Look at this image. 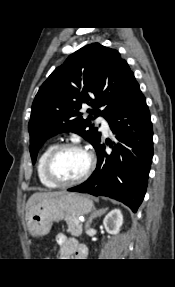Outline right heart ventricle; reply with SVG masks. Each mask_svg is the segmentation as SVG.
Segmentation results:
<instances>
[{
	"label": "right heart ventricle",
	"mask_w": 175,
	"mask_h": 287,
	"mask_svg": "<svg viewBox=\"0 0 175 287\" xmlns=\"http://www.w3.org/2000/svg\"><path fill=\"white\" fill-rule=\"evenodd\" d=\"M55 144H49L47 145L40 153L38 160H37V165H36V170H37V176L40 181V183L47 187V188H56L57 186L53 184L51 181H49L44 173V165L47 156L51 152V150L55 147Z\"/></svg>",
	"instance_id": "obj_1"
}]
</instances>
